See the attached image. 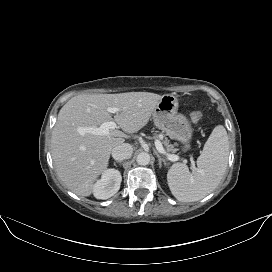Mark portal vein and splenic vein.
Here are the masks:
<instances>
[{
    "label": "portal vein and splenic vein",
    "instance_id": "portal-vein-and-splenic-vein-1",
    "mask_svg": "<svg viewBox=\"0 0 272 272\" xmlns=\"http://www.w3.org/2000/svg\"><path fill=\"white\" fill-rule=\"evenodd\" d=\"M107 111L110 113H117L119 110L116 107H108ZM115 128H117L116 123L114 121H108V122H104L99 127L88 128L87 131L96 135H106L109 133L110 129H115ZM155 146L158 152H160L161 154H165L170 161H177L179 159L177 155L167 153L165 149L163 148L162 143L159 140L155 141ZM192 168L195 169V166L192 165Z\"/></svg>",
    "mask_w": 272,
    "mask_h": 272
}]
</instances>
